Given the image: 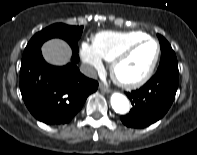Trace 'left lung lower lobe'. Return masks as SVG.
Wrapping results in <instances>:
<instances>
[{"label": "left lung lower lobe", "instance_id": "obj_1", "mask_svg": "<svg viewBox=\"0 0 197 155\" xmlns=\"http://www.w3.org/2000/svg\"><path fill=\"white\" fill-rule=\"evenodd\" d=\"M178 82L179 71L156 72L140 89L126 93L133 107L121 121L127 127L144 128L161 119L174 101Z\"/></svg>", "mask_w": 197, "mask_h": 155}]
</instances>
